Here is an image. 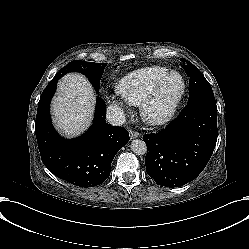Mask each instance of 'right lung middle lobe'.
Listing matches in <instances>:
<instances>
[{"label": "right lung middle lobe", "instance_id": "right-lung-middle-lobe-1", "mask_svg": "<svg viewBox=\"0 0 249 249\" xmlns=\"http://www.w3.org/2000/svg\"><path fill=\"white\" fill-rule=\"evenodd\" d=\"M106 63H94L75 60L62 68L58 74L63 76L68 72H81L90 80L94 88L98 91L100 87V79L103 75Z\"/></svg>", "mask_w": 249, "mask_h": 249}]
</instances>
